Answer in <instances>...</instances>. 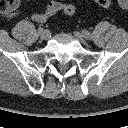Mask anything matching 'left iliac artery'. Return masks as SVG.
I'll return each mask as SVG.
<instances>
[{"label":"left iliac artery","mask_w":128,"mask_h":128,"mask_svg":"<svg viewBox=\"0 0 128 128\" xmlns=\"http://www.w3.org/2000/svg\"><path fill=\"white\" fill-rule=\"evenodd\" d=\"M82 33L86 39H91V34L89 31L83 30Z\"/></svg>","instance_id":"obj_1"}]
</instances>
